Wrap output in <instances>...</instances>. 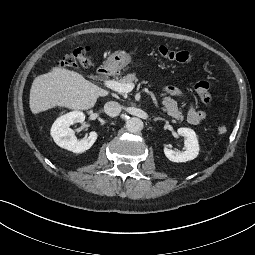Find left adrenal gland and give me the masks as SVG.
<instances>
[{
	"mask_svg": "<svg viewBox=\"0 0 255 255\" xmlns=\"http://www.w3.org/2000/svg\"><path fill=\"white\" fill-rule=\"evenodd\" d=\"M153 120H154L155 122L158 121V120L165 121V119H164V118H161V117H154Z\"/></svg>",
	"mask_w": 255,
	"mask_h": 255,
	"instance_id": "1",
	"label": "left adrenal gland"
}]
</instances>
